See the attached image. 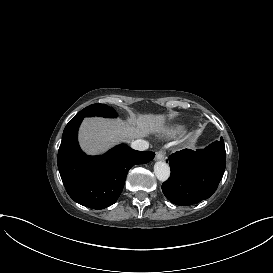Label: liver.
<instances>
[{
    "label": "liver",
    "mask_w": 273,
    "mask_h": 273,
    "mask_svg": "<svg viewBox=\"0 0 273 273\" xmlns=\"http://www.w3.org/2000/svg\"><path fill=\"white\" fill-rule=\"evenodd\" d=\"M181 113L175 112L171 117L176 120ZM166 113H136L126 119L101 116L85 117L78 129L77 140L81 151L88 156L103 155L116 145L129 143L135 139L152 136L169 135ZM182 137H196L198 132L190 133L179 129ZM166 138L171 139V136Z\"/></svg>",
    "instance_id": "obj_1"
}]
</instances>
